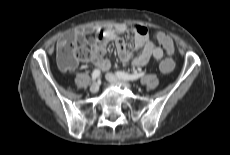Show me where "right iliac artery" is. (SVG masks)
<instances>
[{"mask_svg": "<svg viewBox=\"0 0 230 155\" xmlns=\"http://www.w3.org/2000/svg\"><path fill=\"white\" fill-rule=\"evenodd\" d=\"M100 77V70L95 69L92 73V81L94 82L96 79Z\"/></svg>", "mask_w": 230, "mask_h": 155, "instance_id": "obj_1", "label": "right iliac artery"}]
</instances>
